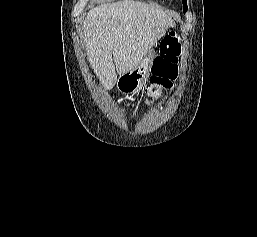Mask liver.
Segmentation results:
<instances>
[{
    "label": "liver",
    "instance_id": "obj_1",
    "mask_svg": "<svg viewBox=\"0 0 257 237\" xmlns=\"http://www.w3.org/2000/svg\"><path fill=\"white\" fill-rule=\"evenodd\" d=\"M172 18L146 3L121 0L92 8L84 21L83 39L88 60L105 90L117 74L134 70L166 31Z\"/></svg>",
    "mask_w": 257,
    "mask_h": 237
}]
</instances>
